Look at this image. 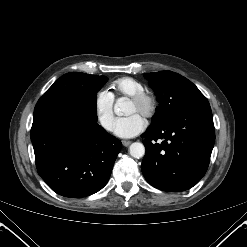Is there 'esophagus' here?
<instances>
[{"label": "esophagus", "instance_id": "esophagus-1", "mask_svg": "<svg viewBox=\"0 0 247 247\" xmlns=\"http://www.w3.org/2000/svg\"><path fill=\"white\" fill-rule=\"evenodd\" d=\"M122 144H123L125 147H127V146H129V145L131 144V141H129V140H123V141H122Z\"/></svg>", "mask_w": 247, "mask_h": 247}]
</instances>
